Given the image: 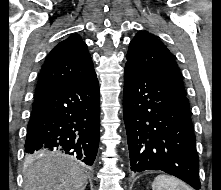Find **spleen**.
I'll list each match as a JSON object with an SVG mask.
<instances>
[{
	"label": "spleen",
	"mask_w": 221,
	"mask_h": 190,
	"mask_svg": "<svg viewBox=\"0 0 221 190\" xmlns=\"http://www.w3.org/2000/svg\"><path fill=\"white\" fill-rule=\"evenodd\" d=\"M152 190H192L184 182L179 179L168 176V175H158L153 183Z\"/></svg>",
	"instance_id": "1"
}]
</instances>
